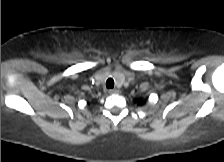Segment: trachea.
Instances as JSON below:
<instances>
[{"mask_svg":"<svg viewBox=\"0 0 224 162\" xmlns=\"http://www.w3.org/2000/svg\"><path fill=\"white\" fill-rule=\"evenodd\" d=\"M106 87H107L108 89L114 87V80H113L112 78H109V79L106 81Z\"/></svg>","mask_w":224,"mask_h":162,"instance_id":"1","label":"trachea"}]
</instances>
